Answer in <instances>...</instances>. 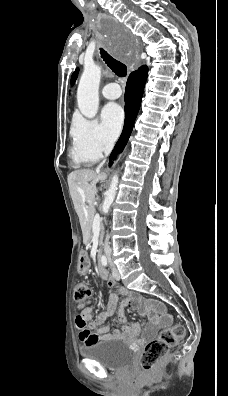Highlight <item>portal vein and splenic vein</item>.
Returning a JSON list of instances; mask_svg holds the SVG:
<instances>
[{"label": "portal vein and splenic vein", "mask_w": 228, "mask_h": 396, "mask_svg": "<svg viewBox=\"0 0 228 396\" xmlns=\"http://www.w3.org/2000/svg\"><path fill=\"white\" fill-rule=\"evenodd\" d=\"M100 223H101V219L100 216L97 214L93 220V227L100 226Z\"/></svg>", "instance_id": "portal-vein-and-splenic-vein-1"}]
</instances>
